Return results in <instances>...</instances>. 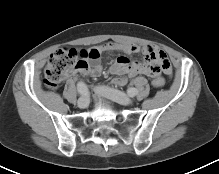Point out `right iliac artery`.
Listing matches in <instances>:
<instances>
[{
	"instance_id": "82829eb1",
	"label": "right iliac artery",
	"mask_w": 219,
	"mask_h": 174,
	"mask_svg": "<svg viewBox=\"0 0 219 174\" xmlns=\"http://www.w3.org/2000/svg\"><path fill=\"white\" fill-rule=\"evenodd\" d=\"M77 90H78V92H79L81 95L86 96V95L89 94V90H88L86 84H85L84 82H82V81L78 82V84H77Z\"/></svg>"
}]
</instances>
